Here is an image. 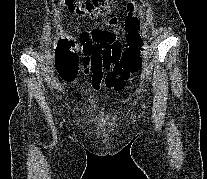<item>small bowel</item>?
Segmentation results:
<instances>
[{
    "label": "small bowel",
    "instance_id": "c3829d8e",
    "mask_svg": "<svg viewBox=\"0 0 207 179\" xmlns=\"http://www.w3.org/2000/svg\"><path fill=\"white\" fill-rule=\"evenodd\" d=\"M117 23V19L114 17V18H112L110 21H109V24L113 27V26H115V24ZM98 30H100V29H95V30H93V31H86V32H82L81 34H80V40H84V39H86V38H88L89 36H91L92 34H94L96 31H98ZM110 32H112L113 34H116L117 33V31L115 30V29H112Z\"/></svg>",
    "mask_w": 207,
    "mask_h": 179
}]
</instances>
